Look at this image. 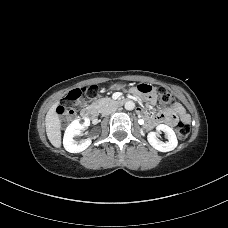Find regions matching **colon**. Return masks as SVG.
<instances>
[{"label": "colon", "instance_id": "5ec220e1", "mask_svg": "<svg viewBox=\"0 0 228 228\" xmlns=\"http://www.w3.org/2000/svg\"><path fill=\"white\" fill-rule=\"evenodd\" d=\"M137 90L143 95H156L161 107H169L175 103L174 95L165 88L161 87L154 89L151 85L139 84ZM84 95H86L89 100L94 99L96 96V88L83 87L71 90L68 93L65 102L57 108V113L63 121H69L74 118L76 110ZM175 130L180 140H186L190 131L189 125L183 121L176 123Z\"/></svg>", "mask_w": 228, "mask_h": 228}]
</instances>
